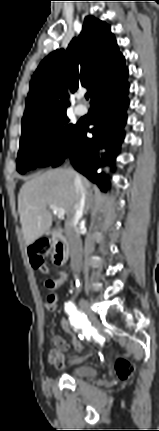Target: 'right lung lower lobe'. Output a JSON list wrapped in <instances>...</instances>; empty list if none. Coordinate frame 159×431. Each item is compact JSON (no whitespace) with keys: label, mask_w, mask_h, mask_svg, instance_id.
<instances>
[{"label":"right lung lower lobe","mask_w":159,"mask_h":431,"mask_svg":"<svg viewBox=\"0 0 159 431\" xmlns=\"http://www.w3.org/2000/svg\"><path fill=\"white\" fill-rule=\"evenodd\" d=\"M127 75L107 86L91 102L94 127L80 122L77 130L67 141L60 153L50 163L57 167L68 157L73 167L100 188H106L107 177L97 169L113 161L124 139L123 128L127 121L129 106ZM93 134L88 138L86 133ZM106 149V153L100 152Z\"/></svg>","instance_id":"1"}]
</instances>
